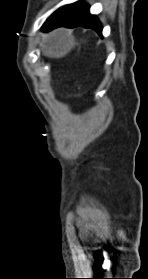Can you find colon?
Listing matches in <instances>:
<instances>
[{"label":"colon","mask_w":148,"mask_h":279,"mask_svg":"<svg viewBox=\"0 0 148 279\" xmlns=\"http://www.w3.org/2000/svg\"><path fill=\"white\" fill-rule=\"evenodd\" d=\"M79 96L83 97V96H84V93H79Z\"/></svg>","instance_id":"colon-1"}]
</instances>
